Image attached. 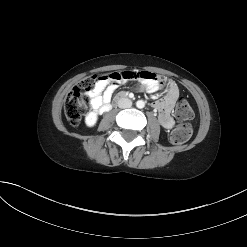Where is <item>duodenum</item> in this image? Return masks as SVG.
Masks as SVG:
<instances>
[{
  "label": "duodenum",
  "mask_w": 247,
  "mask_h": 247,
  "mask_svg": "<svg viewBox=\"0 0 247 247\" xmlns=\"http://www.w3.org/2000/svg\"><path fill=\"white\" fill-rule=\"evenodd\" d=\"M126 91L124 90L123 92H119L118 94H117V96L114 98V100L112 101V103L110 104L113 108L114 107H118L119 105L117 104V102H118V100L119 99H123V98H126L127 97V95H126ZM109 111V110H108ZM107 112V111H106Z\"/></svg>",
  "instance_id": "1"
}]
</instances>
